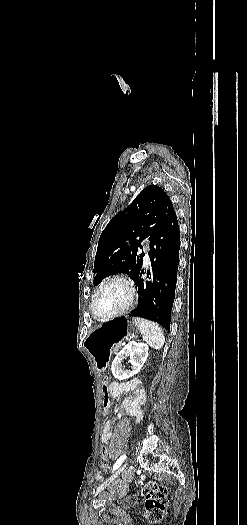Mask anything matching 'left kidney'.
I'll return each mask as SVG.
<instances>
[{
  "mask_svg": "<svg viewBox=\"0 0 247 525\" xmlns=\"http://www.w3.org/2000/svg\"><path fill=\"white\" fill-rule=\"evenodd\" d=\"M138 357V359H135ZM125 357H130L131 365V371H127L126 375L127 377H133V375H137L139 373L140 369H142L145 361H147L148 357V345L146 343H135V341H130L128 345H125L124 349L118 353L117 357H115L113 363H112V373L114 377H121V375H124V371H121L119 369L117 363H120V361H123Z\"/></svg>",
  "mask_w": 247,
  "mask_h": 525,
  "instance_id": "1",
  "label": "left kidney"
}]
</instances>
